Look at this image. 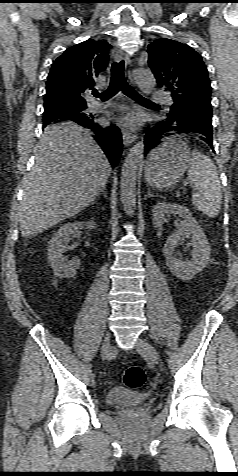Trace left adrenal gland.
Returning a JSON list of instances; mask_svg holds the SVG:
<instances>
[{"mask_svg":"<svg viewBox=\"0 0 238 476\" xmlns=\"http://www.w3.org/2000/svg\"><path fill=\"white\" fill-rule=\"evenodd\" d=\"M154 196H158V195H154L150 192V190H148V193L147 195L145 196V199L148 198V197H154Z\"/></svg>","mask_w":238,"mask_h":476,"instance_id":"1","label":"left adrenal gland"}]
</instances>
